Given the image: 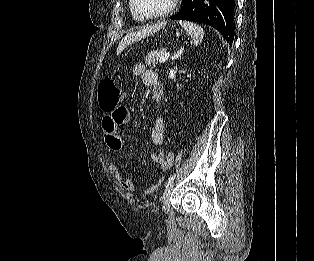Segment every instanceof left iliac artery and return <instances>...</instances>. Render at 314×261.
Returning <instances> with one entry per match:
<instances>
[{
	"label": "left iliac artery",
	"instance_id": "obj_1",
	"mask_svg": "<svg viewBox=\"0 0 314 261\" xmlns=\"http://www.w3.org/2000/svg\"><path fill=\"white\" fill-rule=\"evenodd\" d=\"M175 177H176V174L170 176V178L167 181V185L171 184L174 181Z\"/></svg>",
	"mask_w": 314,
	"mask_h": 261
}]
</instances>
